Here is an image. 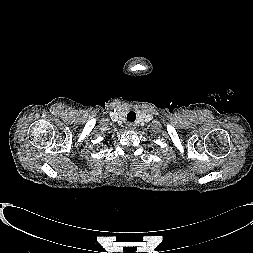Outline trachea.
Listing matches in <instances>:
<instances>
[{
  "instance_id": "obj_1",
  "label": "trachea",
  "mask_w": 253,
  "mask_h": 253,
  "mask_svg": "<svg viewBox=\"0 0 253 253\" xmlns=\"http://www.w3.org/2000/svg\"><path fill=\"white\" fill-rule=\"evenodd\" d=\"M127 120L129 122H134L136 120V114L135 112L133 111H130L128 114H127Z\"/></svg>"
}]
</instances>
